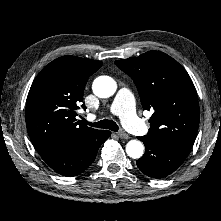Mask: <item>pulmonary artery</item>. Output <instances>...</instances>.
Here are the masks:
<instances>
[{"label":"pulmonary artery","mask_w":221,"mask_h":221,"mask_svg":"<svg viewBox=\"0 0 221 221\" xmlns=\"http://www.w3.org/2000/svg\"><path fill=\"white\" fill-rule=\"evenodd\" d=\"M111 112L120 117L124 126L135 134L146 133L147 128L135 112L134 97L130 90L121 88L110 108ZM93 119V116H90Z\"/></svg>","instance_id":"e3ab8cb5"}]
</instances>
